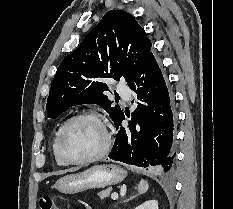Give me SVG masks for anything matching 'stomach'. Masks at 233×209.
<instances>
[{"label": "stomach", "mask_w": 233, "mask_h": 209, "mask_svg": "<svg viewBox=\"0 0 233 209\" xmlns=\"http://www.w3.org/2000/svg\"><path fill=\"white\" fill-rule=\"evenodd\" d=\"M127 172L116 165H94L82 172L65 175L57 180L54 187L66 194L88 189L104 188L122 182Z\"/></svg>", "instance_id": "1"}]
</instances>
